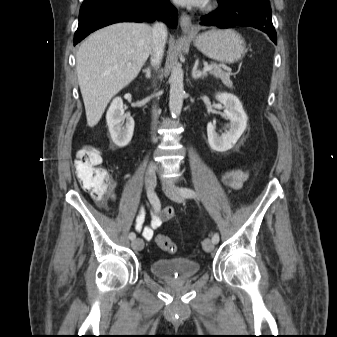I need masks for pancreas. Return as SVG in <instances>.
Masks as SVG:
<instances>
[{
    "label": "pancreas",
    "mask_w": 337,
    "mask_h": 337,
    "mask_svg": "<svg viewBox=\"0 0 337 337\" xmlns=\"http://www.w3.org/2000/svg\"><path fill=\"white\" fill-rule=\"evenodd\" d=\"M211 66H213V70L210 71V74L213 75L216 78L221 79L222 83L228 87V88H233V83L230 80V74L223 71L221 69L220 65H217L215 63H212Z\"/></svg>",
    "instance_id": "pancreas-1"
}]
</instances>
